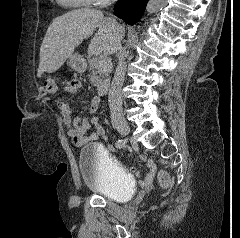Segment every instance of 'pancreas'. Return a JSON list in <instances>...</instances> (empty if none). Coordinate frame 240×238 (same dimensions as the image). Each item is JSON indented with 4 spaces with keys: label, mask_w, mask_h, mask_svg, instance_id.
I'll return each mask as SVG.
<instances>
[{
    "label": "pancreas",
    "mask_w": 240,
    "mask_h": 238,
    "mask_svg": "<svg viewBox=\"0 0 240 238\" xmlns=\"http://www.w3.org/2000/svg\"><path fill=\"white\" fill-rule=\"evenodd\" d=\"M100 60L101 59L95 57H89V71H91L89 77L91 83L96 87H99L103 83L109 73V67L103 68L100 65Z\"/></svg>",
    "instance_id": "1"
}]
</instances>
